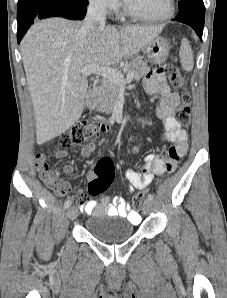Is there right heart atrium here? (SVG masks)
<instances>
[{
    "instance_id": "right-heart-atrium-1",
    "label": "right heart atrium",
    "mask_w": 227,
    "mask_h": 298,
    "mask_svg": "<svg viewBox=\"0 0 227 298\" xmlns=\"http://www.w3.org/2000/svg\"><path fill=\"white\" fill-rule=\"evenodd\" d=\"M90 3L98 10L103 12H112L118 8L117 0H89Z\"/></svg>"
}]
</instances>
